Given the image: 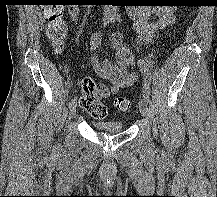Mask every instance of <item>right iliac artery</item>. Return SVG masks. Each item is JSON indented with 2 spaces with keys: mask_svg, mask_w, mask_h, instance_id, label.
Masks as SVG:
<instances>
[{
  "mask_svg": "<svg viewBox=\"0 0 217 197\" xmlns=\"http://www.w3.org/2000/svg\"><path fill=\"white\" fill-rule=\"evenodd\" d=\"M104 25H106V22L104 23ZM74 104H76V97H74L70 103H69V107H72Z\"/></svg>",
  "mask_w": 217,
  "mask_h": 197,
  "instance_id": "82829eb1",
  "label": "right iliac artery"
}]
</instances>
